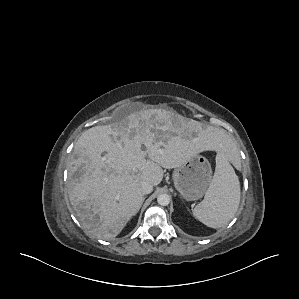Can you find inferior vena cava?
<instances>
[{
	"instance_id": "602c4592",
	"label": "inferior vena cava",
	"mask_w": 299,
	"mask_h": 299,
	"mask_svg": "<svg viewBox=\"0 0 299 299\" xmlns=\"http://www.w3.org/2000/svg\"><path fill=\"white\" fill-rule=\"evenodd\" d=\"M153 190V186L147 182V181H142L141 182V191L143 194H149Z\"/></svg>"
}]
</instances>
